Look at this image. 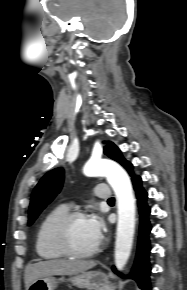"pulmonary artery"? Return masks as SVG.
Here are the masks:
<instances>
[{"instance_id": "obj_1", "label": "pulmonary artery", "mask_w": 187, "mask_h": 290, "mask_svg": "<svg viewBox=\"0 0 187 290\" xmlns=\"http://www.w3.org/2000/svg\"><path fill=\"white\" fill-rule=\"evenodd\" d=\"M94 194L97 198L108 201L112 195L111 190L103 185H98L94 189Z\"/></svg>"}]
</instances>
